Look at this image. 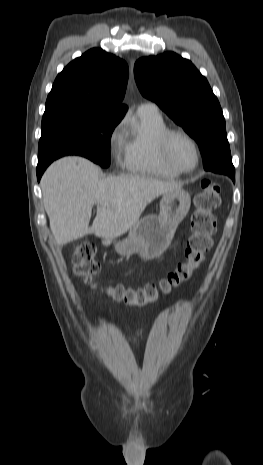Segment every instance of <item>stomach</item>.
<instances>
[{
    "instance_id": "stomach-1",
    "label": "stomach",
    "mask_w": 263,
    "mask_h": 465,
    "mask_svg": "<svg viewBox=\"0 0 263 465\" xmlns=\"http://www.w3.org/2000/svg\"><path fill=\"white\" fill-rule=\"evenodd\" d=\"M190 205V195L182 189L164 193L160 201L159 215H148L138 220L126 238L114 242L116 252L124 257L139 254L148 260L159 257L171 243ZM111 243L112 239L102 240L104 246Z\"/></svg>"
}]
</instances>
